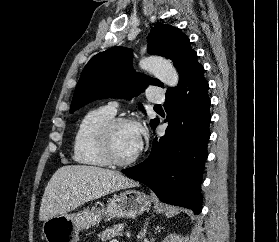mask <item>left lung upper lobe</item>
Returning a JSON list of instances; mask_svg holds the SVG:
<instances>
[{
  "instance_id": "5c2ea615",
  "label": "left lung upper lobe",
  "mask_w": 279,
  "mask_h": 242,
  "mask_svg": "<svg viewBox=\"0 0 279 242\" xmlns=\"http://www.w3.org/2000/svg\"><path fill=\"white\" fill-rule=\"evenodd\" d=\"M148 44V53L165 56L173 61L180 78L189 58L196 53L190 46L189 38L178 28L167 24L152 28ZM149 84L163 86L158 79H149L133 70L129 49L112 47L95 55L83 69L70 113L98 98L131 99ZM157 122L158 119L151 120V126L154 127Z\"/></svg>"
}]
</instances>
